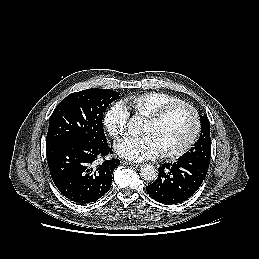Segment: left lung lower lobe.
<instances>
[{
    "label": "left lung lower lobe",
    "mask_w": 259,
    "mask_h": 259,
    "mask_svg": "<svg viewBox=\"0 0 259 259\" xmlns=\"http://www.w3.org/2000/svg\"><path fill=\"white\" fill-rule=\"evenodd\" d=\"M208 167L209 163L182 155L177 162L159 168L158 178L147 186V193L159 203H182L200 187Z\"/></svg>",
    "instance_id": "obj_1"
}]
</instances>
